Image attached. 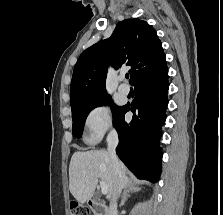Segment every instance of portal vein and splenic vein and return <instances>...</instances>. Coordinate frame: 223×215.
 Wrapping results in <instances>:
<instances>
[{"instance_id":"obj_1","label":"portal vein and splenic vein","mask_w":223,"mask_h":215,"mask_svg":"<svg viewBox=\"0 0 223 215\" xmlns=\"http://www.w3.org/2000/svg\"><path fill=\"white\" fill-rule=\"evenodd\" d=\"M102 193H108V185L105 181H100Z\"/></svg>"}]
</instances>
